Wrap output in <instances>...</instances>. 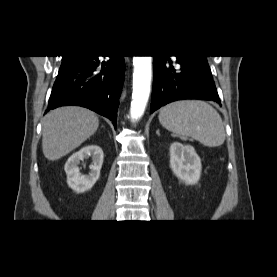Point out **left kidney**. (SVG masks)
<instances>
[{"mask_svg":"<svg viewBox=\"0 0 277 277\" xmlns=\"http://www.w3.org/2000/svg\"><path fill=\"white\" fill-rule=\"evenodd\" d=\"M170 167L185 184H196L201 175V159L190 145L174 142L170 146Z\"/></svg>","mask_w":277,"mask_h":277,"instance_id":"left-kidney-1","label":"left kidney"}]
</instances>
